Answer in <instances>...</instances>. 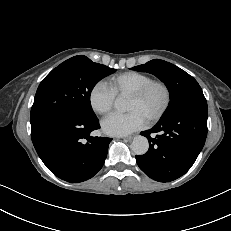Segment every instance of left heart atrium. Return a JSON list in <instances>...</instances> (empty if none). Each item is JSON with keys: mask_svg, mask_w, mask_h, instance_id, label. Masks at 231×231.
I'll return each instance as SVG.
<instances>
[{"mask_svg": "<svg viewBox=\"0 0 231 231\" xmlns=\"http://www.w3.org/2000/svg\"><path fill=\"white\" fill-rule=\"evenodd\" d=\"M147 124V118L139 111L126 114H111L103 119L101 125L105 134L110 136H125L137 131Z\"/></svg>", "mask_w": 231, "mask_h": 231, "instance_id": "1", "label": "left heart atrium"}]
</instances>
